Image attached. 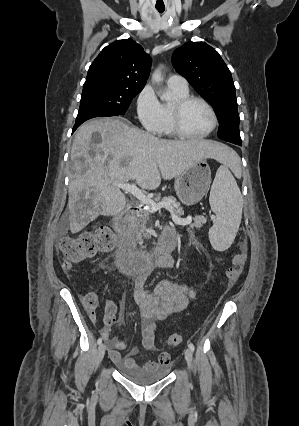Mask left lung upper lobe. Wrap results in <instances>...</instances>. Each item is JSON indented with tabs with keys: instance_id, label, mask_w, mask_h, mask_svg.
I'll return each instance as SVG.
<instances>
[{
	"instance_id": "5c2ea615",
	"label": "left lung upper lobe",
	"mask_w": 299,
	"mask_h": 426,
	"mask_svg": "<svg viewBox=\"0 0 299 426\" xmlns=\"http://www.w3.org/2000/svg\"><path fill=\"white\" fill-rule=\"evenodd\" d=\"M176 71L215 109L218 137L242 146L235 86L219 53L205 42H187L173 52Z\"/></svg>"
}]
</instances>
